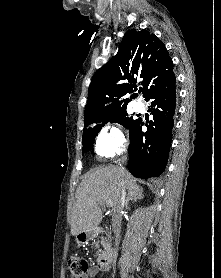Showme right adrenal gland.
Returning <instances> with one entry per match:
<instances>
[{
	"mask_svg": "<svg viewBox=\"0 0 221 278\" xmlns=\"http://www.w3.org/2000/svg\"><path fill=\"white\" fill-rule=\"evenodd\" d=\"M142 198H143V196L141 193L128 192L125 205L128 206V203L130 200L137 201L138 199H142Z\"/></svg>",
	"mask_w": 221,
	"mask_h": 278,
	"instance_id": "2a0ac1e0",
	"label": "right adrenal gland"
}]
</instances>
